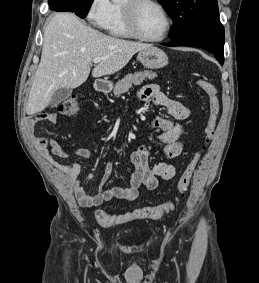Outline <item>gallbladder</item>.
Segmentation results:
<instances>
[{
    "label": "gallbladder",
    "instance_id": "gallbladder-1",
    "mask_svg": "<svg viewBox=\"0 0 259 283\" xmlns=\"http://www.w3.org/2000/svg\"><path fill=\"white\" fill-rule=\"evenodd\" d=\"M72 93V89L60 88L52 96L49 106L56 107L62 101L66 100Z\"/></svg>",
    "mask_w": 259,
    "mask_h": 283
}]
</instances>
